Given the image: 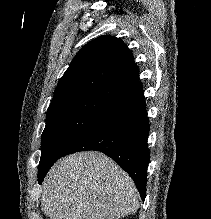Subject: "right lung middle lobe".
<instances>
[{
	"label": "right lung middle lobe",
	"instance_id": "dd1d6c3e",
	"mask_svg": "<svg viewBox=\"0 0 211 219\" xmlns=\"http://www.w3.org/2000/svg\"><path fill=\"white\" fill-rule=\"evenodd\" d=\"M117 105L97 98H76L51 105L41 140L38 181L64 152Z\"/></svg>",
	"mask_w": 211,
	"mask_h": 219
}]
</instances>
